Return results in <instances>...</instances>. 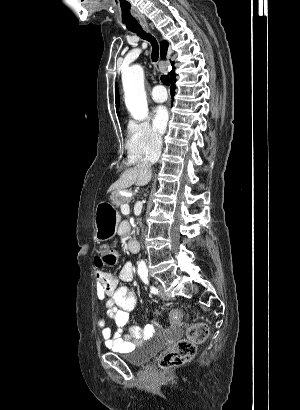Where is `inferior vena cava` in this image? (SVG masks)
<instances>
[{
	"label": "inferior vena cava",
	"mask_w": 300,
	"mask_h": 410,
	"mask_svg": "<svg viewBox=\"0 0 300 410\" xmlns=\"http://www.w3.org/2000/svg\"><path fill=\"white\" fill-rule=\"evenodd\" d=\"M162 146V138L160 135H155L152 141V149L148 151L144 159L138 164L141 168H151V165L156 163L160 157ZM140 246H143L144 240H139Z\"/></svg>",
	"instance_id": "602c4592"
}]
</instances>
